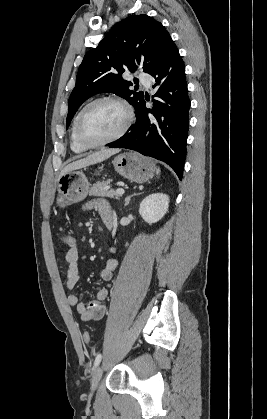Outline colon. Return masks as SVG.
<instances>
[{"label": "colon", "mask_w": 267, "mask_h": 419, "mask_svg": "<svg viewBox=\"0 0 267 419\" xmlns=\"http://www.w3.org/2000/svg\"><path fill=\"white\" fill-rule=\"evenodd\" d=\"M62 242L68 247H72L76 244V237L73 233L67 232L62 236ZM91 339L90 333L88 331L83 332V340L85 343H89Z\"/></svg>", "instance_id": "colon-1"}]
</instances>
